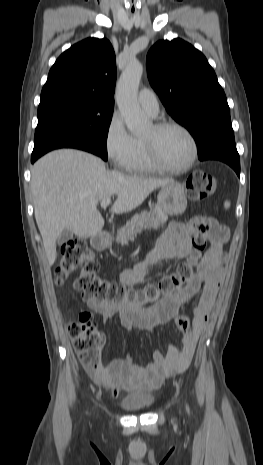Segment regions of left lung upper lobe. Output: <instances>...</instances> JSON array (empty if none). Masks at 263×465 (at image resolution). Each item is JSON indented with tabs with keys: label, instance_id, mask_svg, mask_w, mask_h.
Segmentation results:
<instances>
[{
	"label": "left lung upper lobe",
	"instance_id": "1",
	"mask_svg": "<svg viewBox=\"0 0 263 465\" xmlns=\"http://www.w3.org/2000/svg\"><path fill=\"white\" fill-rule=\"evenodd\" d=\"M147 70L168 113L195 139L198 155L235 141L225 93L199 50L179 38L159 41L147 54Z\"/></svg>",
	"mask_w": 263,
	"mask_h": 465
}]
</instances>
